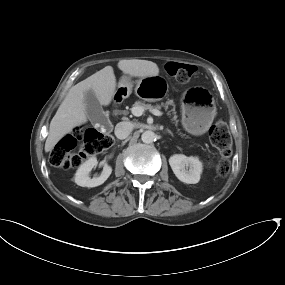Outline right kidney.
Here are the masks:
<instances>
[{
  "label": "right kidney",
  "mask_w": 285,
  "mask_h": 285,
  "mask_svg": "<svg viewBox=\"0 0 285 285\" xmlns=\"http://www.w3.org/2000/svg\"><path fill=\"white\" fill-rule=\"evenodd\" d=\"M98 161L95 157H91L80 165L75 174V183L82 187H96L103 184L112 173L111 166L104 164L103 171L100 176L90 178L91 170L96 167Z\"/></svg>",
  "instance_id": "right-kidney-1"
}]
</instances>
